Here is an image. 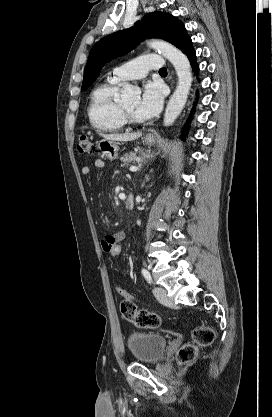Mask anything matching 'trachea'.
<instances>
[{
    "instance_id": "obj_1",
    "label": "trachea",
    "mask_w": 272,
    "mask_h": 417,
    "mask_svg": "<svg viewBox=\"0 0 272 417\" xmlns=\"http://www.w3.org/2000/svg\"><path fill=\"white\" fill-rule=\"evenodd\" d=\"M159 73H167L166 68H162V69H160V70H159Z\"/></svg>"
}]
</instances>
